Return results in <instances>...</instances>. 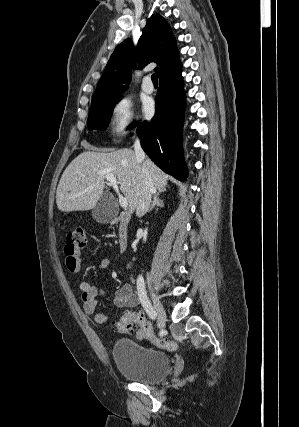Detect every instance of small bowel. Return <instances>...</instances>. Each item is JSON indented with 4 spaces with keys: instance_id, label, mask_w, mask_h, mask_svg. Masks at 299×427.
<instances>
[{
    "instance_id": "1",
    "label": "small bowel",
    "mask_w": 299,
    "mask_h": 427,
    "mask_svg": "<svg viewBox=\"0 0 299 427\" xmlns=\"http://www.w3.org/2000/svg\"><path fill=\"white\" fill-rule=\"evenodd\" d=\"M65 253V264L69 272L78 273L81 269V258L80 252L77 251L74 254H69L64 250ZM109 267L108 259H101L98 263V268L100 270H106ZM107 297L108 292L102 287H98L92 284L89 281H82L80 283V299L82 302L83 312L87 316L94 315V320L98 324H105L109 320L110 313L109 311H97L98 307V297ZM114 305L119 309L132 308L136 307L140 303L139 296L133 291L130 284H124L115 289V298L113 301ZM143 317V313H140ZM145 318V317H144ZM149 323V322H148ZM151 328V324L149 323ZM137 339H149L153 341L154 335L151 334L145 335L139 329L136 332Z\"/></svg>"
}]
</instances>
